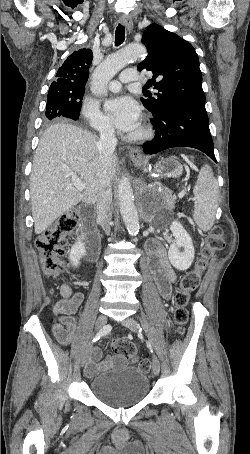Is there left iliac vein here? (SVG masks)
I'll return each mask as SVG.
<instances>
[{
	"mask_svg": "<svg viewBox=\"0 0 250 454\" xmlns=\"http://www.w3.org/2000/svg\"><path fill=\"white\" fill-rule=\"evenodd\" d=\"M122 324L124 326H126L127 328H129L132 332H138V325L133 318L128 317V318L124 319L122 321ZM152 371H153L154 375H156V376L159 375L160 361L155 354L152 356Z\"/></svg>",
	"mask_w": 250,
	"mask_h": 454,
	"instance_id": "1",
	"label": "left iliac vein"
}]
</instances>
